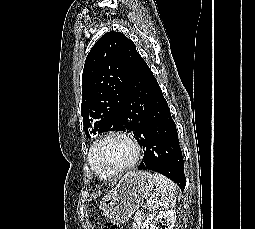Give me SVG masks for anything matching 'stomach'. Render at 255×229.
I'll return each mask as SVG.
<instances>
[{
    "mask_svg": "<svg viewBox=\"0 0 255 229\" xmlns=\"http://www.w3.org/2000/svg\"><path fill=\"white\" fill-rule=\"evenodd\" d=\"M155 183L147 171L126 173L104 197L102 211L108 219L124 223L139 209L143 199L150 196Z\"/></svg>",
    "mask_w": 255,
    "mask_h": 229,
    "instance_id": "0dacf381",
    "label": "stomach"
}]
</instances>
